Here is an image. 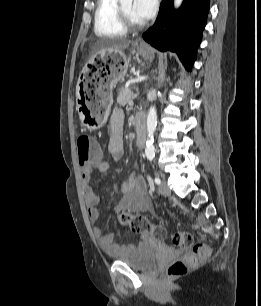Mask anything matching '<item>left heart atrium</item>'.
Returning <instances> with one entry per match:
<instances>
[{
    "instance_id": "obj_1",
    "label": "left heart atrium",
    "mask_w": 261,
    "mask_h": 306,
    "mask_svg": "<svg viewBox=\"0 0 261 306\" xmlns=\"http://www.w3.org/2000/svg\"><path fill=\"white\" fill-rule=\"evenodd\" d=\"M158 0H134V14L141 21L150 19L156 12Z\"/></svg>"
}]
</instances>
